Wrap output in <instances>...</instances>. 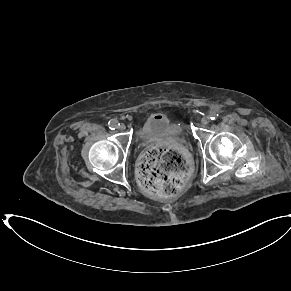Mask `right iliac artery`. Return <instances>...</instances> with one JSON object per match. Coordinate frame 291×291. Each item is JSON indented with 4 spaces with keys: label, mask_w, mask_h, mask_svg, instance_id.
<instances>
[{
    "label": "right iliac artery",
    "mask_w": 291,
    "mask_h": 291,
    "mask_svg": "<svg viewBox=\"0 0 291 291\" xmlns=\"http://www.w3.org/2000/svg\"><path fill=\"white\" fill-rule=\"evenodd\" d=\"M118 125H120V124L115 119H112L108 122V126L111 130H115L116 128H118Z\"/></svg>",
    "instance_id": "82829eb1"
}]
</instances>
